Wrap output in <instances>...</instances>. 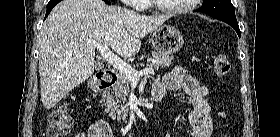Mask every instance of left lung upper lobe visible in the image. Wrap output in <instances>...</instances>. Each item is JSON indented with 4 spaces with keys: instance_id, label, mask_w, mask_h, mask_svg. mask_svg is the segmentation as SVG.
I'll return each instance as SVG.
<instances>
[{
    "instance_id": "left-lung-upper-lobe-1",
    "label": "left lung upper lobe",
    "mask_w": 280,
    "mask_h": 137,
    "mask_svg": "<svg viewBox=\"0 0 280 137\" xmlns=\"http://www.w3.org/2000/svg\"><path fill=\"white\" fill-rule=\"evenodd\" d=\"M218 20L237 21L231 0H204L203 7L197 9Z\"/></svg>"
}]
</instances>
